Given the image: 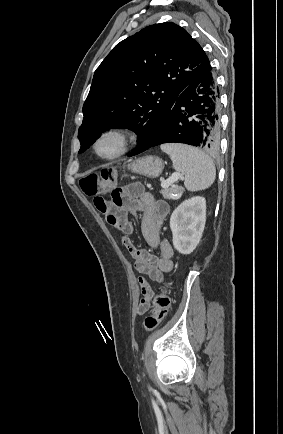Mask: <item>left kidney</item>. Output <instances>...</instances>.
Listing matches in <instances>:
<instances>
[{
	"instance_id": "left-kidney-1",
	"label": "left kidney",
	"mask_w": 283,
	"mask_h": 434,
	"mask_svg": "<svg viewBox=\"0 0 283 434\" xmlns=\"http://www.w3.org/2000/svg\"><path fill=\"white\" fill-rule=\"evenodd\" d=\"M205 222V198L196 196L183 201L170 218L174 248L181 254L192 253L200 242Z\"/></svg>"
}]
</instances>
